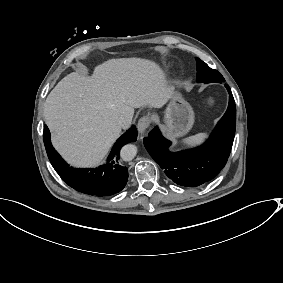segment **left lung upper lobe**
<instances>
[{
	"label": "left lung upper lobe",
	"mask_w": 283,
	"mask_h": 283,
	"mask_svg": "<svg viewBox=\"0 0 283 283\" xmlns=\"http://www.w3.org/2000/svg\"><path fill=\"white\" fill-rule=\"evenodd\" d=\"M197 61V81L198 82H224L223 76L214 69L208 67L206 63H204L199 58H196Z\"/></svg>",
	"instance_id": "5c2ea615"
}]
</instances>
